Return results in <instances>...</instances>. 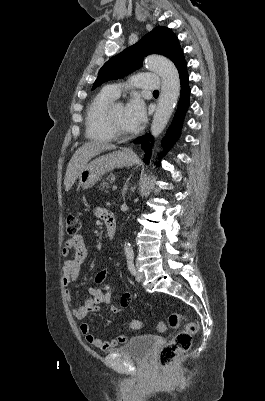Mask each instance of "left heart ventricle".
I'll list each match as a JSON object with an SVG mask.
<instances>
[{"label":"left heart ventricle","instance_id":"1","mask_svg":"<svg viewBox=\"0 0 265 401\" xmlns=\"http://www.w3.org/2000/svg\"><path fill=\"white\" fill-rule=\"evenodd\" d=\"M125 108L122 104H116L114 108L113 121L119 134L127 135L131 131L125 120Z\"/></svg>","mask_w":265,"mask_h":401}]
</instances>
